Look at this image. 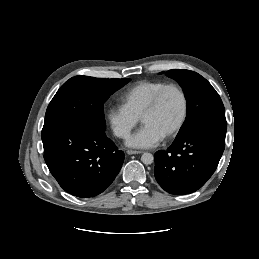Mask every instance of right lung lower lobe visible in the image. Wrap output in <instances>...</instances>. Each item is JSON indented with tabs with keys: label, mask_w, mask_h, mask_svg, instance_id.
<instances>
[{
	"label": "right lung lower lobe",
	"mask_w": 259,
	"mask_h": 259,
	"mask_svg": "<svg viewBox=\"0 0 259 259\" xmlns=\"http://www.w3.org/2000/svg\"><path fill=\"white\" fill-rule=\"evenodd\" d=\"M44 159L62 189L77 197H94L115 179L124 153L105 131L82 121L43 127Z\"/></svg>",
	"instance_id": "right-lung-lower-lobe-1"
}]
</instances>
